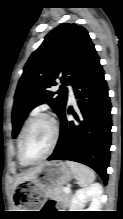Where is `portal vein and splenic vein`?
I'll return each mask as SVG.
<instances>
[{
    "instance_id": "18ae733b",
    "label": "portal vein and splenic vein",
    "mask_w": 123,
    "mask_h": 219,
    "mask_svg": "<svg viewBox=\"0 0 123 219\" xmlns=\"http://www.w3.org/2000/svg\"><path fill=\"white\" fill-rule=\"evenodd\" d=\"M64 192H65V193H70V192H71V190H70V188H69V187H65V188H64Z\"/></svg>"
}]
</instances>
